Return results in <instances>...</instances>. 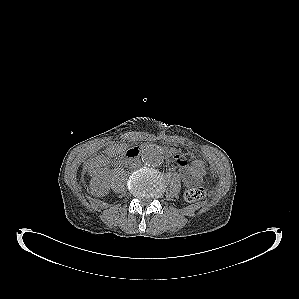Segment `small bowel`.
<instances>
[{"label":"small bowel","mask_w":299,"mask_h":299,"mask_svg":"<svg viewBox=\"0 0 299 299\" xmlns=\"http://www.w3.org/2000/svg\"><path fill=\"white\" fill-rule=\"evenodd\" d=\"M121 148L120 147H110L107 149L106 154L108 157H114L118 153H120ZM176 162L180 169V175L181 178L186 186H192L197 183V181L194 179L192 172L190 170V163L186 161L185 159H182L181 157H176Z\"/></svg>","instance_id":"obj_1"}]
</instances>
